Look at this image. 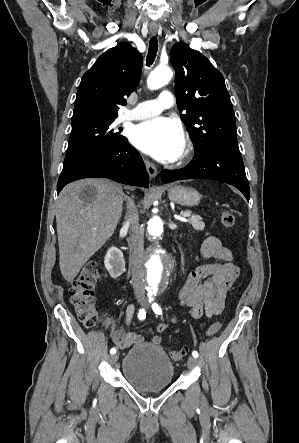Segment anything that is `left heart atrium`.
Instances as JSON below:
<instances>
[{"label":"left heart atrium","mask_w":299,"mask_h":443,"mask_svg":"<svg viewBox=\"0 0 299 443\" xmlns=\"http://www.w3.org/2000/svg\"><path fill=\"white\" fill-rule=\"evenodd\" d=\"M130 141L142 152L169 162L181 155L185 136L177 119L161 116L137 124L131 130Z\"/></svg>","instance_id":"1"}]
</instances>
